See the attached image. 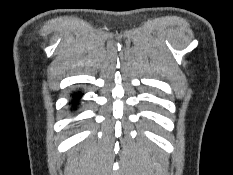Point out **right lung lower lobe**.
Here are the masks:
<instances>
[{
	"label": "right lung lower lobe",
	"mask_w": 233,
	"mask_h": 175,
	"mask_svg": "<svg viewBox=\"0 0 233 175\" xmlns=\"http://www.w3.org/2000/svg\"><path fill=\"white\" fill-rule=\"evenodd\" d=\"M81 96H82V92H78L76 94H72L73 98L77 97L79 99ZM72 106H73V108H75V106H76V103L74 101L72 102Z\"/></svg>",
	"instance_id": "1"
}]
</instances>
